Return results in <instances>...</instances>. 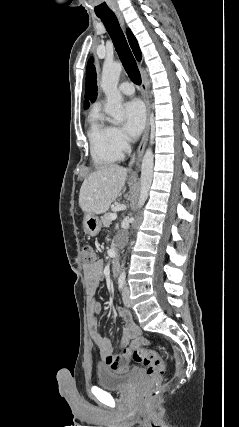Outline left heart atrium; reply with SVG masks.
I'll return each mask as SVG.
<instances>
[{"mask_svg": "<svg viewBox=\"0 0 239 427\" xmlns=\"http://www.w3.org/2000/svg\"><path fill=\"white\" fill-rule=\"evenodd\" d=\"M125 131L131 138H136L142 132L146 114L143 104L139 100H131L124 106Z\"/></svg>", "mask_w": 239, "mask_h": 427, "instance_id": "obj_1", "label": "left heart atrium"}]
</instances>
